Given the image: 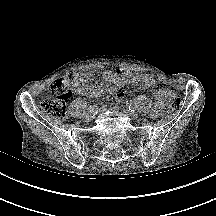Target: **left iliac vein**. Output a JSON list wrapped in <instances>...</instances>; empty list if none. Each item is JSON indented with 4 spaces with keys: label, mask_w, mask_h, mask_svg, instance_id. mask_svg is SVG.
<instances>
[{
    "label": "left iliac vein",
    "mask_w": 216,
    "mask_h": 216,
    "mask_svg": "<svg viewBox=\"0 0 216 216\" xmlns=\"http://www.w3.org/2000/svg\"><path fill=\"white\" fill-rule=\"evenodd\" d=\"M127 114L132 118V119H137L139 117L138 113L135 111H127Z\"/></svg>",
    "instance_id": "1"
}]
</instances>
